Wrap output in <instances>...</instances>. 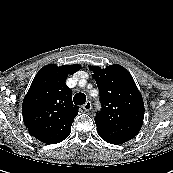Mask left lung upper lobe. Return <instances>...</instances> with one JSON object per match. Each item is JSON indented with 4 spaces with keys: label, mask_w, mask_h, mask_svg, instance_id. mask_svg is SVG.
Masks as SVG:
<instances>
[{
    "label": "left lung upper lobe",
    "mask_w": 173,
    "mask_h": 173,
    "mask_svg": "<svg viewBox=\"0 0 173 173\" xmlns=\"http://www.w3.org/2000/svg\"><path fill=\"white\" fill-rule=\"evenodd\" d=\"M94 72L102 110L95 117L98 133L121 143L134 138L144 118V103L131 74L114 64L101 69L90 66Z\"/></svg>",
    "instance_id": "obj_1"
}]
</instances>
